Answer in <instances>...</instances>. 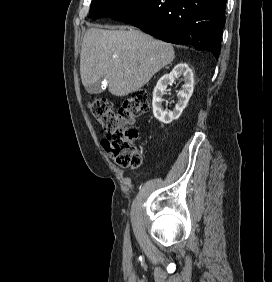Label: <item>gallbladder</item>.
Masks as SVG:
<instances>
[{
  "instance_id": "obj_1",
  "label": "gallbladder",
  "mask_w": 272,
  "mask_h": 282,
  "mask_svg": "<svg viewBox=\"0 0 272 282\" xmlns=\"http://www.w3.org/2000/svg\"><path fill=\"white\" fill-rule=\"evenodd\" d=\"M86 90H87V92H89L91 94H100V93L103 92L101 82L87 86Z\"/></svg>"
}]
</instances>
